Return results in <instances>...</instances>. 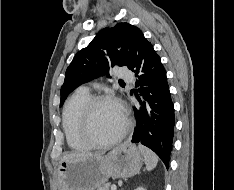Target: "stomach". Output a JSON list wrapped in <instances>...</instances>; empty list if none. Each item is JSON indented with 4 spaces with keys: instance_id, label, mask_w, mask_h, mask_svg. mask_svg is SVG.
I'll return each mask as SVG.
<instances>
[{
    "instance_id": "0dacf381",
    "label": "stomach",
    "mask_w": 234,
    "mask_h": 190,
    "mask_svg": "<svg viewBox=\"0 0 234 190\" xmlns=\"http://www.w3.org/2000/svg\"><path fill=\"white\" fill-rule=\"evenodd\" d=\"M143 155L139 148L125 142L106 155L83 156L61 161L58 190H97L109 178H127L139 172Z\"/></svg>"
}]
</instances>
